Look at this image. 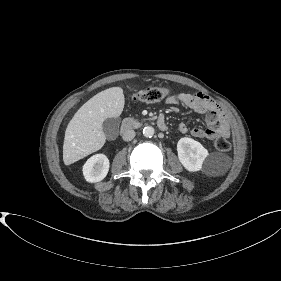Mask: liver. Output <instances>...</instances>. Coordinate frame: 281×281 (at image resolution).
<instances>
[{"instance_id": "obj_1", "label": "liver", "mask_w": 281, "mask_h": 281, "mask_svg": "<svg viewBox=\"0 0 281 281\" xmlns=\"http://www.w3.org/2000/svg\"><path fill=\"white\" fill-rule=\"evenodd\" d=\"M125 104L123 89L112 87L84 103L70 120L63 144V161L70 165L101 149L106 142L103 122L121 115Z\"/></svg>"}]
</instances>
